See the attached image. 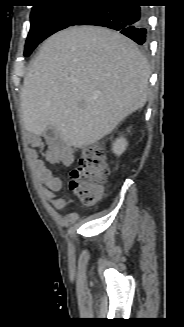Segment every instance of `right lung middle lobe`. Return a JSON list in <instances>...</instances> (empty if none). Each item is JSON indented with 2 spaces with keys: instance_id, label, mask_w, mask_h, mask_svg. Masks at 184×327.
Wrapping results in <instances>:
<instances>
[{
  "instance_id": "dd1d6c3e",
  "label": "right lung middle lobe",
  "mask_w": 184,
  "mask_h": 327,
  "mask_svg": "<svg viewBox=\"0 0 184 327\" xmlns=\"http://www.w3.org/2000/svg\"><path fill=\"white\" fill-rule=\"evenodd\" d=\"M77 1H88L79 5ZM94 0H52L32 8L31 27L25 44V56L44 39L57 31L71 26L90 7Z\"/></svg>"
}]
</instances>
